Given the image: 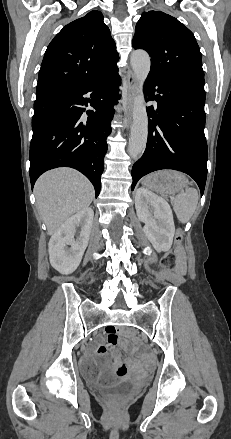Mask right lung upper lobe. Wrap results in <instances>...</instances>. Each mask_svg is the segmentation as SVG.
Listing matches in <instances>:
<instances>
[{
    "label": "right lung upper lobe",
    "instance_id": "1",
    "mask_svg": "<svg viewBox=\"0 0 231 439\" xmlns=\"http://www.w3.org/2000/svg\"><path fill=\"white\" fill-rule=\"evenodd\" d=\"M118 60L115 42L102 13L91 11L67 24L48 45L36 94L84 85L117 67Z\"/></svg>",
    "mask_w": 231,
    "mask_h": 439
}]
</instances>
